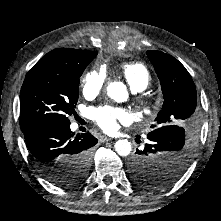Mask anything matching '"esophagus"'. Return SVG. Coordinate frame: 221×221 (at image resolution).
<instances>
[{
    "label": "esophagus",
    "instance_id": "34e87169",
    "mask_svg": "<svg viewBox=\"0 0 221 221\" xmlns=\"http://www.w3.org/2000/svg\"><path fill=\"white\" fill-rule=\"evenodd\" d=\"M112 140V138H110V137H107V136H101L100 137V141L101 142H108V141H111Z\"/></svg>",
    "mask_w": 221,
    "mask_h": 221
}]
</instances>
